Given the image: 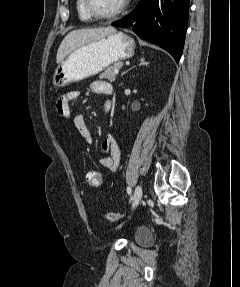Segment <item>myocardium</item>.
<instances>
[{
  "label": "myocardium",
  "instance_id": "myocardium-1",
  "mask_svg": "<svg viewBox=\"0 0 240 287\" xmlns=\"http://www.w3.org/2000/svg\"><path fill=\"white\" fill-rule=\"evenodd\" d=\"M129 0H123L122 3L112 12L101 13L94 6L93 0H85V7L89 15L98 20H108L113 19L120 15L128 6Z\"/></svg>",
  "mask_w": 240,
  "mask_h": 287
}]
</instances>
